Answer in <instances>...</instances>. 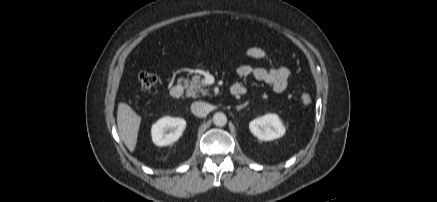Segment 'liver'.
I'll list each match as a JSON object with an SVG mask.
<instances>
[{
	"label": "liver",
	"instance_id": "6515ba94",
	"mask_svg": "<svg viewBox=\"0 0 437 202\" xmlns=\"http://www.w3.org/2000/svg\"><path fill=\"white\" fill-rule=\"evenodd\" d=\"M141 117L126 103H119L117 110V125L119 136L126 147L133 152L137 144Z\"/></svg>",
	"mask_w": 437,
	"mask_h": 202
}]
</instances>
